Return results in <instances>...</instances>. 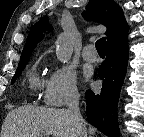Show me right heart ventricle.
<instances>
[{
  "instance_id": "obj_1",
  "label": "right heart ventricle",
  "mask_w": 144,
  "mask_h": 137,
  "mask_svg": "<svg viewBox=\"0 0 144 137\" xmlns=\"http://www.w3.org/2000/svg\"><path fill=\"white\" fill-rule=\"evenodd\" d=\"M28 82L31 89L36 90L43 85V78L36 69L31 70L28 75Z\"/></svg>"
}]
</instances>
